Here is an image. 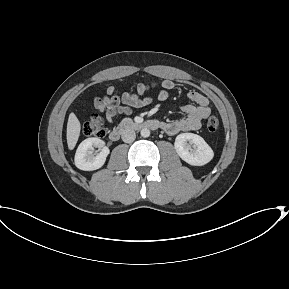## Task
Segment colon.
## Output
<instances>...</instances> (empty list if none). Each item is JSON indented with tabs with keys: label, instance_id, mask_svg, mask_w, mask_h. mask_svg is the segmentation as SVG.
<instances>
[{
	"label": "colon",
	"instance_id": "1",
	"mask_svg": "<svg viewBox=\"0 0 289 289\" xmlns=\"http://www.w3.org/2000/svg\"><path fill=\"white\" fill-rule=\"evenodd\" d=\"M207 129L214 132L219 127V119L210 116L206 123ZM83 133L86 136L102 137L105 134L104 123L101 117L94 115L83 126Z\"/></svg>",
	"mask_w": 289,
	"mask_h": 289
}]
</instances>
